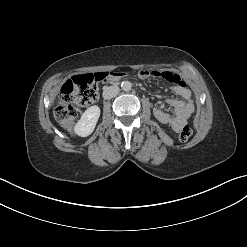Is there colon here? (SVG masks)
<instances>
[{
  "instance_id": "obj_1",
  "label": "colon",
  "mask_w": 247,
  "mask_h": 247,
  "mask_svg": "<svg viewBox=\"0 0 247 247\" xmlns=\"http://www.w3.org/2000/svg\"><path fill=\"white\" fill-rule=\"evenodd\" d=\"M112 73L99 72L73 76L61 87L60 96L55 108V118L67 130L71 131L79 108L87 106L98 99L99 83L106 81ZM192 135L189 126H183L179 139L187 141Z\"/></svg>"
}]
</instances>
